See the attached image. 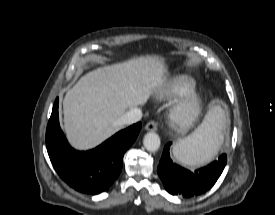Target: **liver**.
Wrapping results in <instances>:
<instances>
[{
	"mask_svg": "<svg viewBox=\"0 0 275 215\" xmlns=\"http://www.w3.org/2000/svg\"><path fill=\"white\" fill-rule=\"evenodd\" d=\"M167 68L157 56H140L88 72L64 98V130L71 145L86 150L118 130L127 110L147 102Z\"/></svg>",
	"mask_w": 275,
	"mask_h": 215,
	"instance_id": "6515ba94",
	"label": "liver"
}]
</instances>
